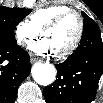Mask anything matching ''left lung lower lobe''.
Returning a JSON list of instances; mask_svg holds the SVG:
<instances>
[{
    "label": "left lung lower lobe",
    "instance_id": "1",
    "mask_svg": "<svg viewBox=\"0 0 103 103\" xmlns=\"http://www.w3.org/2000/svg\"><path fill=\"white\" fill-rule=\"evenodd\" d=\"M57 78L44 88L47 103H90L103 74V42L99 28L83 31L80 45L56 65Z\"/></svg>",
    "mask_w": 103,
    "mask_h": 103
}]
</instances>
